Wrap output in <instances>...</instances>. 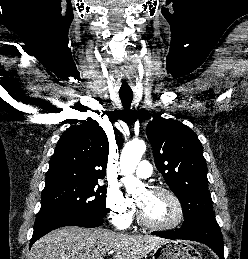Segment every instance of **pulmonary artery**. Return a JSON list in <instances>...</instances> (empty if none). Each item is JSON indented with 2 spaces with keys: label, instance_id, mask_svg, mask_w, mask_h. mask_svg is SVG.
<instances>
[{
  "label": "pulmonary artery",
  "instance_id": "e3ab8cb5",
  "mask_svg": "<svg viewBox=\"0 0 248 259\" xmlns=\"http://www.w3.org/2000/svg\"><path fill=\"white\" fill-rule=\"evenodd\" d=\"M136 176L139 178H148L152 174V166L151 164L143 160L140 162L139 166L137 167V170L135 172Z\"/></svg>",
  "mask_w": 248,
  "mask_h": 259
}]
</instances>
